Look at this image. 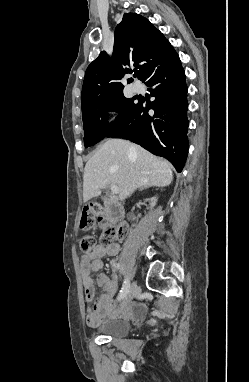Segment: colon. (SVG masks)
Returning <instances> with one entry per match:
<instances>
[{
    "label": "colon",
    "instance_id": "5ec220e1",
    "mask_svg": "<svg viewBox=\"0 0 249 382\" xmlns=\"http://www.w3.org/2000/svg\"><path fill=\"white\" fill-rule=\"evenodd\" d=\"M97 221L103 224L101 233V242L103 244L111 245L123 238V227L113 224L100 205L94 204L85 207L81 214L80 228L84 230L90 229ZM95 243L93 237L83 236L80 240V247L83 251L89 252L95 247Z\"/></svg>",
    "mask_w": 249,
    "mask_h": 382
}]
</instances>
